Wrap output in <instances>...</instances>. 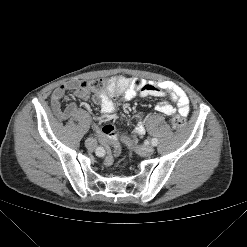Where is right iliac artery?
Returning <instances> with one entry per match:
<instances>
[{"instance_id": "82829eb1", "label": "right iliac artery", "mask_w": 247, "mask_h": 247, "mask_svg": "<svg viewBox=\"0 0 247 247\" xmlns=\"http://www.w3.org/2000/svg\"><path fill=\"white\" fill-rule=\"evenodd\" d=\"M95 154H96L98 157H103V156L106 154V149H105L103 146H98V147L95 149Z\"/></svg>"}]
</instances>
